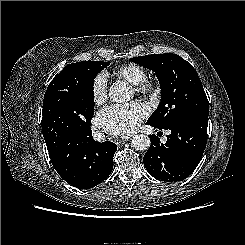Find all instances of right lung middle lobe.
<instances>
[{"instance_id":"obj_1","label":"right lung middle lobe","mask_w":245,"mask_h":245,"mask_svg":"<svg viewBox=\"0 0 245 245\" xmlns=\"http://www.w3.org/2000/svg\"><path fill=\"white\" fill-rule=\"evenodd\" d=\"M109 64L110 62L91 60L71 64L80 92L78 113L69 122L71 131L82 133L91 131V119L94 115V79Z\"/></svg>"}]
</instances>
